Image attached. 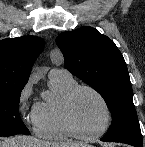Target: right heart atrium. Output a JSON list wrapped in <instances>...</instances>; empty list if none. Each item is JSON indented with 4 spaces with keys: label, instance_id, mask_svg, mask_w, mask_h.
<instances>
[{
    "label": "right heart atrium",
    "instance_id": "right-heart-atrium-1",
    "mask_svg": "<svg viewBox=\"0 0 145 147\" xmlns=\"http://www.w3.org/2000/svg\"><path fill=\"white\" fill-rule=\"evenodd\" d=\"M31 92V84H25L18 96L17 109L24 123L29 127L35 128L37 111L36 105H30Z\"/></svg>",
    "mask_w": 145,
    "mask_h": 147
}]
</instances>
